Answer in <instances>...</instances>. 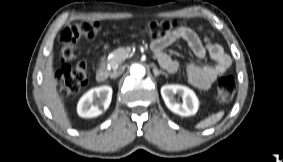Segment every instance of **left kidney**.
<instances>
[{
    "instance_id": "obj_1",
    "label": "left kidney",
    "mask_w": 283,
    "mask_h": 162,
    "mask_svg": "<svg viewBox=\"0 0 283 162\" xmlns=\"http://www.w3.org/2000/svg\"><path fill=\"white\" fill-rule=\"evenodd\" d=\"M161 95L166 106L174 113L180 116H191L196 114L199 101L191 89L178 84L164 85L161 87ZM175 95L182 98L180 103Z\"/></svg>"
}]
</instances>
